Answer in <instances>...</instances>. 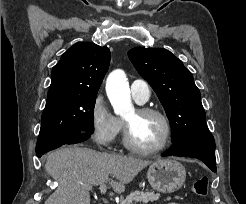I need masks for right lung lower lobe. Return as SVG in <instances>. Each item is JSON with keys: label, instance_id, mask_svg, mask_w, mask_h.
Instances as JSON below:
<instances>
[{"label": "right lung lower lobe", "instance_id": "right-lung-lower-lobe-1", "mask_svg": "<svg viewBox=\"0 0 246 204\" xmlns=\"http://www.w3.org/2000/svg\"><path fill=\"white\" fill-rule=\"evenodd\" d=\"M90 137L89 133H82L77 135L76 137H74L73 139H71L70 141H68L66 144H75V143H79L82 141L87 140ZM42 155H38V157L40 158Z\"/></svg>", "mask_w": 246, "mask_h": 204}]
</instances>
